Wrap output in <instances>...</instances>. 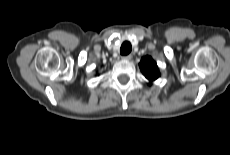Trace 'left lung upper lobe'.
Masks as SVG:
<instances>
[{"mask_svg":"<svg viewBox=\"0 0 230 155\" xmlns=\"http://www.w3.org/2000/svg\"><path fill=\"white\" fill-rule=\"evenodd\" d=\"M139 66L143 75L149 80V85L160 76L158 66L150 56L143 57Z\"/></svg>","mask_w":230,"mask_h":155,"instance_id":"5c2ea615","label":"left lung upper lobe"}]
</instances>
